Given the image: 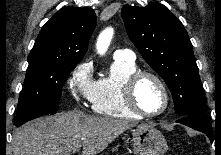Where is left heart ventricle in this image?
<instances>
[{
    "label": "left heart ventricle",
    "mask_w": 221,
    "mask_h": 155,
    "mask_svg": "<svg viewBox=\"0 0 221 155\" xmlns=\"http://www.w3.org/2000/svg\"><path fill=\"white\" fill-rule=\"evenodd\" d=\"M136 98L146 112H157L164 105V95L160 86L151 78H143L138 84Z\"/></svg>",
    "instance_id": "1"
}]
</instances>
